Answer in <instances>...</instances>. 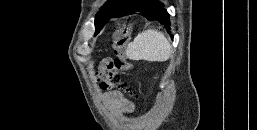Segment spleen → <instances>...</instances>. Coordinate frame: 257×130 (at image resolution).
<instances>
[{"label":"spleen","mask_w":257,"mask_h":130,"mask_svg":"<svg viewBox=\"0 0 257 130\" xmlns=\"http://www.w3.org/2000/svg\"><path fill=\"white\" fill-rule=\"evenodd\" d=\"M126 54L134 61L164 62L170 57L171 45L162 32L148 29L134 38L128 45Z\"/></svg>","instance_id":"3e777b00"}]
</instances>
